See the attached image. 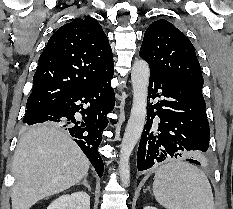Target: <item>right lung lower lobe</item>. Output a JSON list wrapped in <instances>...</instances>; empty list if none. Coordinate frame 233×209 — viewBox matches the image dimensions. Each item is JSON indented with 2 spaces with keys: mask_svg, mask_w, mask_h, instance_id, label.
Masks as SVG:
<instances>
[{
  "mask_svg": "<svg viewBox=\"0 0 233 209\" xmlns=\"http://www.w3.org/2000/svg\"><path fill=\"white\" fill-rule=\"evenodd\" d=\"M113 74L83 90L61 96L38 111L25 125L54 122L69 131L74 141L85 153L102 177L104 164L98 147L102 131L108 124L107 113L114 108V91L110 85ZM85 104L88 106L83 107ZM80 112L82 119L75 117Z\"/></svg>",
  "mask_w": 233,
  "mask_h": 209,
  "instance_id": "obj_1",
  "label": "right lung lower lobe"
}]
</instances>
